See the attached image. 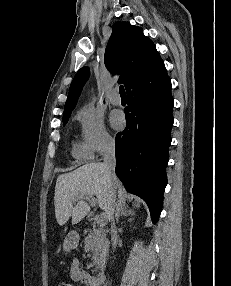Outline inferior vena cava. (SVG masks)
Segmentation results:
<instances>
[{
	"mask_svg": "<svg viewBox=\"0 0 231 286\" xmlns=\"http://www.w3.org/2000/svg\"><path fill=\"white\" fill-rule=\"evenodd\" d=\"M103 164L106 170V174L111 182V191H110V205L107 211L109 218L111 219V241L112 246L115 247V243L117 241V229L114 220V211L116 205V196L113 190V185L116 182L115 175V142L112 139L106 140L103 146Z\"/></svg>",
	"mask_w": 231,
	"mask_h": 286,
	"instance_id": "obj_1",
	"label": "inferior vena cava"
}]
</instances>
